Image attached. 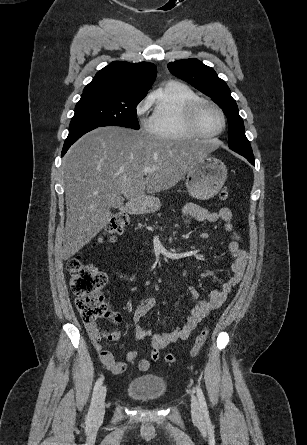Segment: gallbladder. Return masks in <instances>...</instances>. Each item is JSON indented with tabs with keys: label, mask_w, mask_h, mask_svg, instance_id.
Here are the masks:
<instances>
[{
	"label": "gallbladder",
	"mask_w": 307,
	"mask_h": 445,
	"mask_svg": "<svg viewBox=\"0 0 307 445\" xmlns=\"http://www.w3.org/2000/svg\"><path fill=\"white\" fill-rule=\"evenodd\" d=\"M122 204H124L123 196H115L114 200L111 202L110 209L115 211L116 209H119Z\"/></svg>",
	"instance_id": "gallbladder-1"
}]
</instances>
